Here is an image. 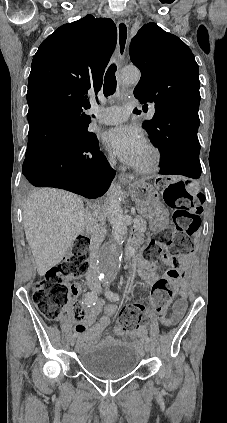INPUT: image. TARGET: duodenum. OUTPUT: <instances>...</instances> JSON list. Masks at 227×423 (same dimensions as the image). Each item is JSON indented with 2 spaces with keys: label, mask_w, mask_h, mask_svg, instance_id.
I'll return each mask as SVG.
<instances>
[{
  "label": "duodenum",
  "mask_w": 227,
  "mask_h": 423,
  "mask_svg": "<svg viewBox=\"0 0 227 423\" xmlns=\"http://www.w3.org/2000/svg\"><path fill=\"white\" fill-rule=\"evenodd\" d=\"M127 249L131 251L133 257L137 255V248L134 245H130Z\"/></svg>",
  "instance_id": "410a0bca"
}]
</instances>
